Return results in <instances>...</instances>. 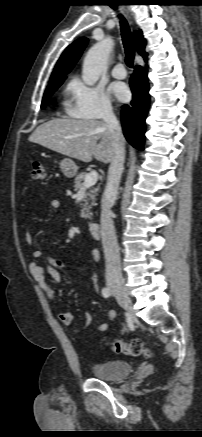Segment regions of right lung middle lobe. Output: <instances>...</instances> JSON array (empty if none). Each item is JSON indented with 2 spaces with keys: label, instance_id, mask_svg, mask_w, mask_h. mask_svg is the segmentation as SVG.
Here are the masks:
<instances>
[{
  "label": "right lung middle lobe",
  "instance_id": "dd1d6c3e",
  "mask_svg": "<svg viewBox=\"0 0 202 437\" xmlns=\"http://www.w3.org/2000/svg\"><path fill=\"white\" fill-rule=\"evenodd\" d=\"M63 81L64 79L56 81L48 86L43 96L41 108H44L46 106L50 96L58 89V87L63 83Z\"/></svg>",
  "mask_w": 202,
  "mask_h": 437
}]
</instances>
